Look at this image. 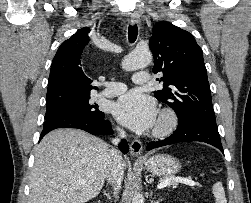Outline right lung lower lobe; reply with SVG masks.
Instances as JSON below:
<instances>
[{
  "mask_svg": "<svg viewBox=\"0 0 251 203\" xmlns=\"http://www.w3.org/2000/svg\"><path fill=\"white\" fill-rule=\"evenodd\" d=\"M57 128H77L93 135H109L113 133L111 124L108 120L97 119L85 114L69 113L45 119L40 139H42L48 132ZM119 149L124 154L128 152V144L126 140H123L119 144Z\"/></svg>",
  "mask_w": 251,
  "mask_h": 203,
  "instance_id": "1",
  "label": "right lung lower lobe"
}]
</instances>
